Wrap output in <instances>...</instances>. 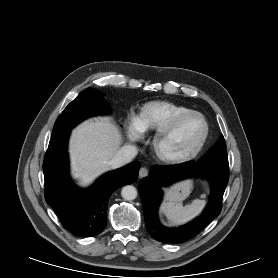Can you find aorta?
I'll return each instance as SVG.
<instances>
[{"instance_id": "obj_1", "label": "aorta", "mask_w": 278, "mask_h": 278, "mask_svg": "<svg viewBox=\"0 0 278 278\" xmlns=\"http://www.w3.org/2000/svg\"><path fill=\"white\" fill-rule=\"evenodd\" d=\"M121 195L124 200L132 201L137 197V190L132 185H126L122 188Z\"/></svg>"}]
</instances>
